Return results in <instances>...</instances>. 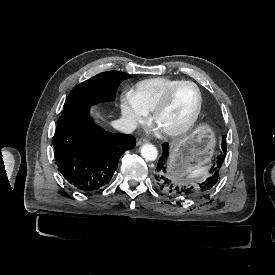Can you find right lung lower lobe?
<instances>
[{
	"mask_svg": "<svg viewBox=\"0 0 275 275\" xmlns=\"http://www.w3.org/2000/svg\"><path fill=\"white\" fill-rule=\"evenodd\" d=\"M129 134L97 127L89 107L63 109L53 138L56 164L71 186L93 192L108 184L121 155L135 147Z\"/></svg>",
	"mask_w": 275,
	"mask_h": 275,
	"instance_id": "98d812e1",
	"label": "right lung lower lobe"
}]
</instances>
